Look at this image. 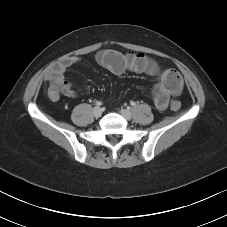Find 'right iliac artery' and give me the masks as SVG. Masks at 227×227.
I'll use <instances>...</instances> for the list:
<instances>
[{
  "label": "right iliac artery",
  "instance_id": "1",
  "mask_svg": "<svg viewBox=\"0 0 227 227\" xmlns=\"http://www.w3.org/2000/svg\"><path fill=\"white\" fill-rule=\"evenodd\" d=\"M96 105L101 106L102 102L98 101V102H96Z\"/></svg>",
  "mask_w": 227,
  "mask_h": 227
}]
</instances>
